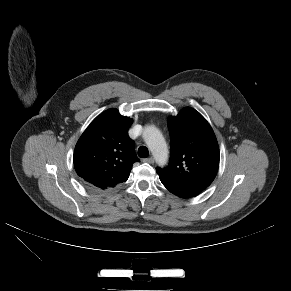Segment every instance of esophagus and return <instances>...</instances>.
<instances>
[{
    "instance_id": "34e87169",
    "label": "esophagus",
    "mask_w": 291,
    "mask_h": 291,
    "mask_svg": "<svg viewBox=\"0 0 291 291\" xmlns=\"http://www.w3.org/2000/svg\"><path fill=\"white\" fill-rule=\"evenodd\" d=\"M143 162H147V163L153 164L154 163V158L150 157V158H147V159H143Z\"/></svg>"
}]
</instances>
